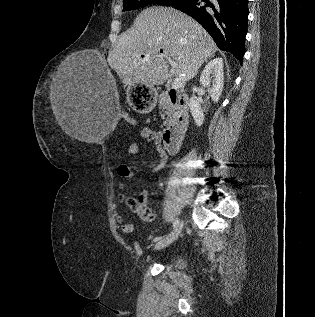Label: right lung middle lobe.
Segmentation results:
<instances>
[{
  "label": "right lung middle lobe",
  "instance_id": "dd1d6c3e",
  "mask_svg": "<svg viewBox=\"0 0 315 317\" xmlns=\"http://www.w3.org/2000/svg\"><path fill=\"white\" fill-rule=\"evenodd\" d=\"M179 0H124L123 11H130L150 4L173 6Z\"/></svg>",
  "mask_w": 315,
  "mask_h": 317
}]
</instances>
